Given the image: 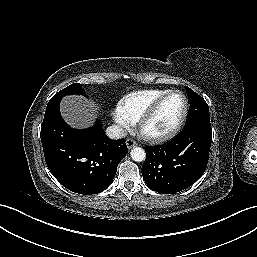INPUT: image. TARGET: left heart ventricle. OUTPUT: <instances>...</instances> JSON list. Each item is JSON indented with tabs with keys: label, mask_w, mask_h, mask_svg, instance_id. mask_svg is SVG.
<instances>
[{
	"label": "left heart ventricle",
	"mask_w": 257,
	"mask_h": 257,
	"mask_svg": "<svg viewBox=\"0 0 257 257\" xmlns=\"http://www.w3.org/2000/svg\"><path fill=\"white\" fill-rule=\"evenodd\" d=\"M183 109V97L180 94L171 95L147 123L146 131L151 134L169 131L180 119Z\"/></svg>",
	"instance_id": "obj_1"
}]
</instances>
